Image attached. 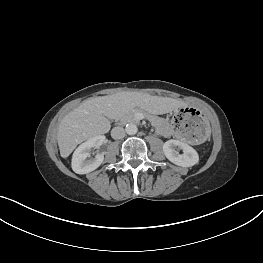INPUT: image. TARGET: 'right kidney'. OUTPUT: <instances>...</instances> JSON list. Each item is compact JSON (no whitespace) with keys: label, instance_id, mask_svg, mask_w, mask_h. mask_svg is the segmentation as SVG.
<instances>
[{"label":"right kidney","instance_id":"right-kidney-1","mask_svg":"<svg viewBox=\"0 0 263 263\" xmlns=\"http://www.w3.org/2000/svg\"><path fill=\"white\" fill-rule=\"evenodd\" d=\"M105 140L104 136L93 137L82 143L73 153L72 169L77 174H87L97 169L104 160V155L97 154L91 158L90 151L94 147H99Z\"/></svg>","mask_w":263,"mask_h":263}]
</instances>
